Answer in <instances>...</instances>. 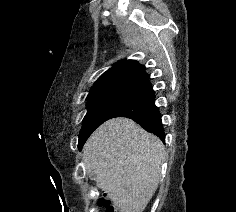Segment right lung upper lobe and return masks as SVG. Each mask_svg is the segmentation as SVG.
Instances as JSON below:
<instances>
[{
  "label": "right lung upper lobe",
  "mask_w": 236,
  "mask_h": 212,
  "mask_svg": "<svg viewBox=\"0 0 236 212\" xmlns=\"http://www.w3.org/2000/svg\"><path fill=\"white\" fill-rule=\"evenodd\" d=\"M147 76L144 65L135 60H121L99 77L87 98L118 91H130Z\"/></svg>",
  "instance_id": "1"
}]
</instances>
